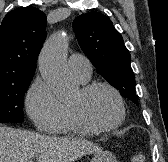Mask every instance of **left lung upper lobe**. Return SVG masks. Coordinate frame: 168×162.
Masks as SVG:
<instances>
[{
    "label": "left lung upper lobe",
    "instance_id": "5c2ea615",
    "mask_svg": "<svg viewBox=\"0 0 168 162\" xmlns=\"http://www.w3.org/2000/svg\"><path fill=\"white\" fill-rule=\"evenodd\" d=\"M72 26L82 51L97 72L123 97L138 105L131 56L111 20L92 11L76 17Z\"/></svg>",
    "mask_w": 168,
    "mask_h": 162
}]
</instances>
